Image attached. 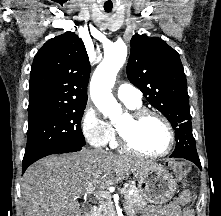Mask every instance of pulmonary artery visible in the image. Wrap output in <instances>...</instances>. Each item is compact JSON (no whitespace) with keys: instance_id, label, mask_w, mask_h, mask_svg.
<instances>
[{"instance_id":"1","label":"pulmonary artery","mask_w":221,"mask_h":216,"mask_svg":"<svg viewBox=\"0 0 221 216\" xmlns=\"http://www.w3.org/2000/svg\"><path fill=\"white\" fill-rule=\"evenodd\" d=\"M117 97L126 105L141 104L142 93L129 83H122L117 87Z\"/></svg>"}]
</instances>
